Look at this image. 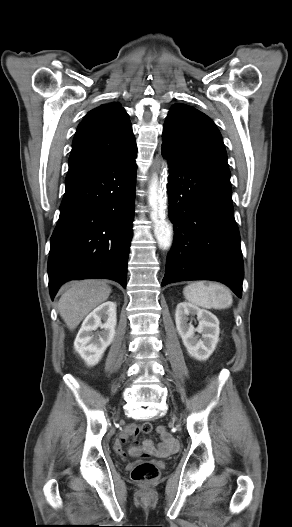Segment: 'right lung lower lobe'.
Wrapping results in <instances>:
<instances>
[{"instance_id":"obj_1","label":"right lung lower lobe","mask_w":292,"mask_h":527,"mask_svg":"<svg viewBox=\"0 0 292 527\" xmlns=\"http://www.w3.org/2000/svg\"><path fill=\"white\" fill-rule=\"evenodd\" d=\"M136 156L69 165L48 259L52 299L72 279H112L126 288Z\"/></svg>"}]
</instances>
